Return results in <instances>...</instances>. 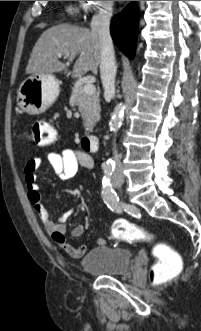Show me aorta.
<instances>
[{
    "instance_id": "aorta-1",
    "label": "aorta",
    "mask_w": 201,
    "mask_h": 331,
    "mask_svg": "<svg viewBox=\"0 0 201 331\" xmlns=\"http://www.w3.org/2000/svg\"><path fill=\"white\" fill-rule=\"evenodd\" d=\"M124 113H125V106L123 103H119L116 105L111 119L109 121V128L112 132H117L119 128L122 125L123 119H124ZM113 165V162L111 160H108L104 164V168L111 169Z\"/></svg>"
}]
</instances>
